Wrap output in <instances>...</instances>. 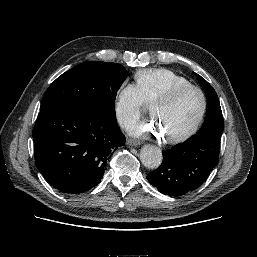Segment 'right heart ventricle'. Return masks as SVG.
I'll use <instances>...</instances> for the list:
<instances>
[{
  "instance_id": "obj_1",
  "label": "right heart ventricle",
  "mask_w": 257,
  "mask_h": 257,
  "mask_svg": "<svg viewBox=\"0 0 257 257\" xmlns=\"http://www.w3.org/2000/svg\"><path fill=\"white\" fill-rule=\"evenodd\" d=\"M135 81L147 104H152L173 88L190 84L187 78L164 68L139 70L135 74Z\"/></svg>"
}]
</instances>
